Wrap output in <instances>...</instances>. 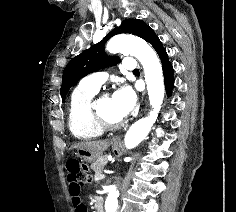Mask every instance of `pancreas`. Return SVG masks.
<instances>
[{
	"mask_svg": "<svg viewBox=\"0 0 236 212\" xmlns=\"http://www.w3.org/2000/svg\"><path fill=\"white\" fill-rule=\"evenodd\" d=\"M105 163H106L105 158H98L92 163L91 169L95 172V177H94L95 181L99 180V178H97V176L101 175V168Z\"/></svg>",
	"mask_w": 236,
	"mask_h": 212,
	"instance_id": "1",
	"label": "pancreas"
}]
</instances>
